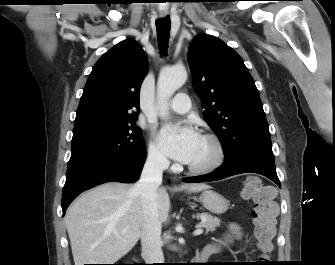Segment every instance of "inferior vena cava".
<instances>
[{"mask_svg": "<svg viewBox=\"0 0 335 265\" xmlns=\"http://www.w3.org/2000/svg\"><path fill=\"white\" fill-rule=\"evenodd\" d=\"M169 161L160 153L149 154L140 179L133 190L141 196L143 224L141 232L142 256L148 264L164 263L161 222L158 218L157 189L162 183L163 170Z\"/></svg>", "mask_w": 335, "mask_h": 265, "instance_id": "obj_1", "label": "inferior vena cava"}]
</instances>
